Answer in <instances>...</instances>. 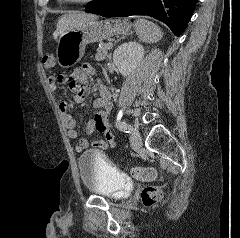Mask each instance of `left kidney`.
Returning <instances> with one entry per match:
<instances>
[{
    "instance_id": "5707ae66",
    "label": "left kidney",
    "mask_w": 240,
    "mask_h": 238,
    "mask_svg": "<svg viewBox=\"0 0 240 238\" xmlns=\"http://www.w3.org/2000/svg\"><path fill=\"white\" fill-rule=\"evenodd\" d=\"M144 57L142 45L129 41L118 46L113 53V63L122 76H128Z\"/></svg>"
}]
</instances>
